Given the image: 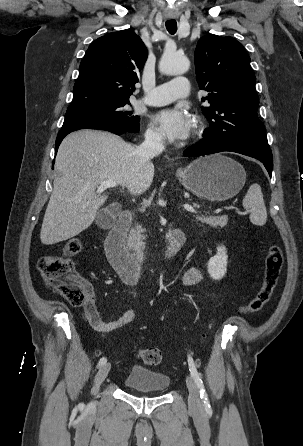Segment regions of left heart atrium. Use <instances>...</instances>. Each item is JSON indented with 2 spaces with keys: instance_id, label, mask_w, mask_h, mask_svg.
Wrapping results in <instances>:
<instances>
[{
  "instance_id": "left-heart-atrium-1",
  "label": "left heart atrium",
  "mask_w": 303,
  "mask_h": 446,
  "mask_svg": "<svg viewBox=\"0 0 303 446\" xmlns=\"http://www.w3.org/2000/svg\"><path fill=\"white\" fill-rule=\"evenodd\" d=\"M153 122L164 137L173 141L185 139L191 131V118L179 106L160 110L153 116Z\"/></svg>"
}]
</instances>
